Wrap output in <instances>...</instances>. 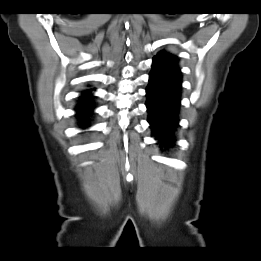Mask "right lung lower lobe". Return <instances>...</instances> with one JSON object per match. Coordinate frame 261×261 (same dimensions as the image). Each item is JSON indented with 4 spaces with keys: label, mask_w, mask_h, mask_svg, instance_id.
Masks as SVG:
<instances>
[{
    "label": "right lung lower lobe",
    "mask_w": 261,
    "mask_h": 261,
    "mask_svg": "<svg viewBox=\"0 0 261 261\" xmlns=\"http://www.w3.org/2000/svg\"><path fill=\"white\" fill-rule=\"evenodd\" d=\"M93 96L90 90H86L79 97L78 104L76 106V114L79 119L80 126L86 128L90 126V118L93 111Z\"/></svg>",
    "instance_id": "1"
}]
</instances>
